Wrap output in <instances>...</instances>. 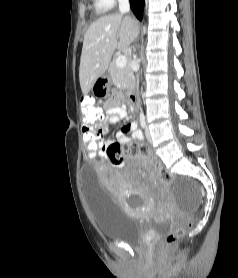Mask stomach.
<instances>
[{
	"instance_id": "0dacf381",
	"label": "stomach",
	"mask_w": 238,
	"mask_h": 278,
	"mask_svg": "<svg viewBox=\"0 0 238 278\" xmlns=\"http://www.w3.org/2000/svg\"><path fill=\"white\" fill-rule=\"evenodd\" d=\"M112 85L111 76L109 73L102 74L98 80L93 84V95H96L97 99H106L108 93V87Z\"/></svg>"
}]
</instances>
